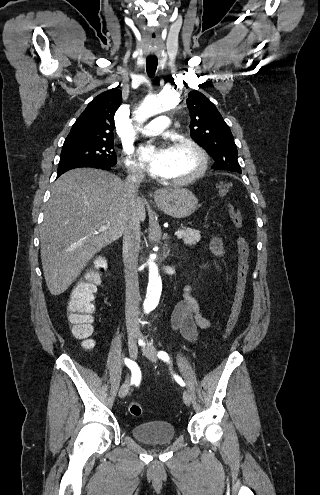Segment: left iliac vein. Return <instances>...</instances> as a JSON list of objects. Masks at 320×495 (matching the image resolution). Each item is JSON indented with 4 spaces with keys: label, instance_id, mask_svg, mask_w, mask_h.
Listing matches in <instances>:
<instances>
[{
    "label": "left iliac vein",
    "instance_id": "4c4485c4",
    "mask_svg": "<svg viewBox=\"0 0 320 495\" xmlns=\"http://www.w3.org/2000/svg\"><path fill=\"white\" fill-rule=\"evenodd\" d=\"M142 352L149 360L152 362H157V351L154 346L147 344L142 349ZM183 401L187 406L191 404V394L187 390L183 391Z\"/></svg>",
    "mask_w": 320,
    "mask_h": 495
}]
</instances>
